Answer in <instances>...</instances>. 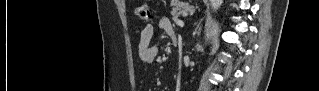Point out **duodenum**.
<instances>
[{
    "label": "duodenum",
    "instance_id": "obj_1",
    "mask_svg": "<svg viewBox=\"0 0 319 91\" xmlns=\"http://www.w3.org/2000/svg\"><path fill=\"white\" fill-rule=\"evenodd\" d=\"M171 41H172V44H173L174 46H177V44H178V39H177V35H176V34H174V35L171 36Z\"/></svg>",
    "mask_w": 319,
    "mask_h": 91
}]
</instances>
